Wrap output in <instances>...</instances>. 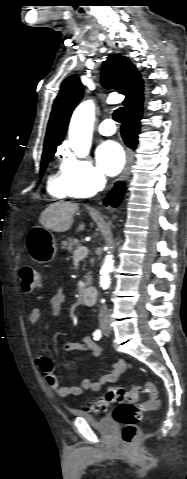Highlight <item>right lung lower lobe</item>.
I'll return each mask as SVG.
<instances>
[{
  "label": "right lung lower lobe",
  "instance_id": "98d812e1",
  "mask_svg": "<svg viewBox=\"0 0 187 479\" xmlns=\"http://www.w3.org/2000/svg\"><path fill=\"white\" fill-rule=\"evenodd\" d=\"M141 117L142 105L126 110L125 120L121 127V134L125 144L132 149L137 145ZM124 186V183L117 182L109 196L110 199L107 198L104 204L107 205L110 203L113 207H116L123 196Z\"/></svg>",
  "mask_w": 187,
  "mask_h": 479
}]
</instances>
